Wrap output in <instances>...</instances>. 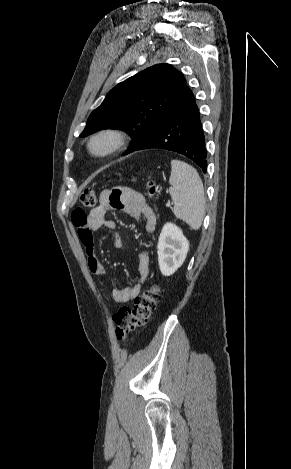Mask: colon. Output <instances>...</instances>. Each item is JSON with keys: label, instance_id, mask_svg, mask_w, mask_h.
Here are the masks:
<instances>
[{"label": "colon", "instance_id": "colon-1", "mask_svg": "<svg viewBox=\"0 0 291 469\" xmlns=\"http://www.w3.org/2000/svg\"><path fill=\"white\" fill-rule=\"evenodd\" d=\"M146 192L149 197L153 196L155 193V187L151 181L147 182ZM80 202L84 207L95 206L97 203L96 191L92 188L84 189L80 196ZM77 211L83 210L76 209L73 213ZM159 299L160 288L158 285L152 284L145 288L135 299L133 308H120L113 316L116 338L119 341H125L132 331L146 326L153 315Z\"/></svg>", "mask_w": 291, "mask_h": 469}]
</instances>
